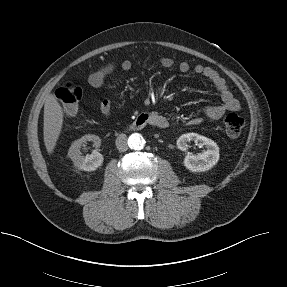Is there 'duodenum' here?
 Listing matches in <instances>:
<instances>
[{"mask_svg": "<svg viewBox=\"0 0 287 287\" xmlns=\"http://www.w3.org/2000/svg\"><path fill=\"white\" fill-rule=\"evenodd\" d=\"M155 119L147 113L140 114L130 125L129 128L132 130L143 129L147 125H154Z\"/></svg>", "mask_w": 287, "mask_h": 287, "instance_id": "obj_1", "label": "duodenum"}]
</instances>
